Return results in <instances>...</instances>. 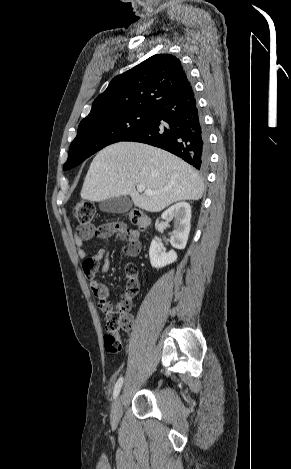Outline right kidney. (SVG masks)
I'll return each mask as SVG.
<instances>
[{
  "instance_id": "right-kidney-1",
  "label": "right kidney",
  "mask_w": 291,
  "mask_h": 469,
  "mask_svg": "<svg viewBox=\"0 0 291 469\" xmlns=\"http://www.w3.org/2000/svg\"><path fill=\"white\" fill-rule=\"evenodd\" d=\"M161 218L166 223L174 220V231L171 235L170 243L175 249H184L190 232V205L186 202L177 203L163 212ZM149 258L152 267L158 269L176 261L177 254L174 250L166 253L162 243L155 238L150 245Z\"/></svg>"
}]
</instances>
